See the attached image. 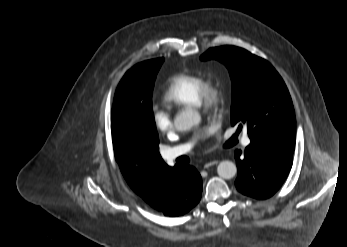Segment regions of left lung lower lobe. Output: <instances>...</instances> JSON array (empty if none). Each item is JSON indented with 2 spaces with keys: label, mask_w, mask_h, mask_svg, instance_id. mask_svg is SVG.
<instances>
[{
  "label": "left lung lower lobe",
  "mask_w": 347,
  "mask_h": 247,
  "mask_svg": "<svg viewBox=\"0 0 347 247\" xmlns=\"http://www.w3.org/2000/svg\"><path fill=\"white\" fill-rule=\"evenodd\" d=\"M294 149L290 141L259 140L251 141L244 153L236 150L238 191L257 199L271 197L291 169Z\"/></svg>",
  "instance_id": "0a47b994"
}]
</instances>
